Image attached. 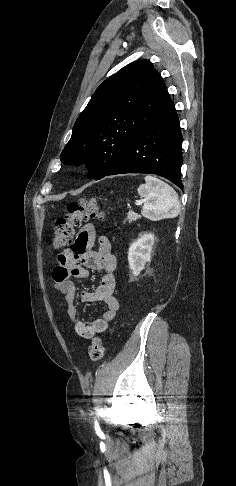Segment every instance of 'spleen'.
Returning a JSON list of instances; mask_svg holds the SVG:
<instances>
[{"label":"spleen","mask_w":236,"mask_h":486,"mask_svg":"<svg viewBox=\"0 0 236 486\" xmlns=\"http://www.w3.org/2000/svg\"><path fill=\"white\" fill-rule=\"evenodd\" d=\"M138 194L145 199L142 215L156 221L174 218L180 213V202L176 191L160 179L147 175L145 184H141Z\"/></svg>","instance_id":"1"}]
</instances>
